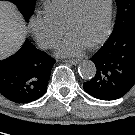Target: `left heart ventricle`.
Listing matches in <instances>:
<instances>
[{
	"label": "left heart ventricle",
	"instance_id": "obj_1",
	"mask_svg": "<svg viewBox=\"0 0 135 135\" xmlns=\"http://www.w3.org/2000/svg\"><path fill=\"white\" fill-rule=\"evenodd\" d=\"M108 0H84L78 16L68 25L66 33L88 45L104 31Z\"/></svg>",
	"mask_w": 135,
	"mask_h": 135
}]
</instances>
